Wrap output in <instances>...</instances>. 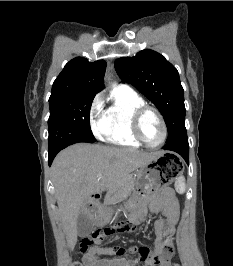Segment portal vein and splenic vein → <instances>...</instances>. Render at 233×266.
I'll list each match as a JSON object with an SVG mask.
<instances>
[{"label": "portal vein and splenic vein", "mask_w": 233, "mask_h": 266, "mask_svg": "<svg viewBox=\"0 0 233 266\" xmlns=\"http://www.w3.org/2000/svg\"><path fill=\"white\" fill-rule=\"evenodd\" d=\"M97 177H101V174H98Z\"/></svg>", "instance_id": "18ae733b"}]
</instances>
